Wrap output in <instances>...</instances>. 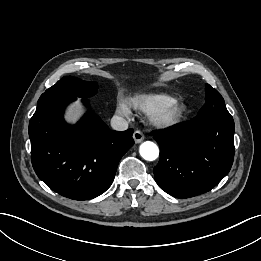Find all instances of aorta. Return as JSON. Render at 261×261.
I'll return each mask as SVG.
<instances>
[{
	"mask_svg": "<svg viewBox=\"0 0 261 261\" xmlns=\"http://www.w3.org/2000/svg\"><path fill=\"white\" fill-rule=\"evenodd\" d=\"M140 155L147 161H153L159 156V149L157 145L151 141H146L140 145Z\"/></svg>",
	"mask_w": 261,
	"mask_h": 261,
	"instance_id": "obj_1",
	"label": "aorta"
}]
</instances>
